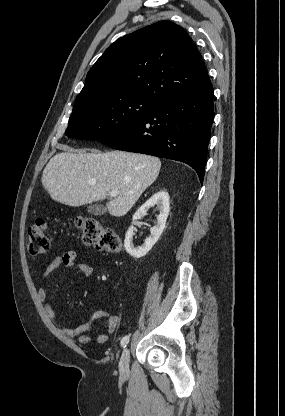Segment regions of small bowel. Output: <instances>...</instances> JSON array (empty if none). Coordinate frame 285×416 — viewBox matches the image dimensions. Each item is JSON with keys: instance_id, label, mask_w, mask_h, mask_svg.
<instances>
[{"instance_id": "obj_1", "label": "small bowel", "mask_w": 285, "mask_h": 416, "mask_svg": "<svg viewBox=\"0 0 285 416\" xmlns=\"http://www.w3.org/2000/svg\"><path fill=\"white\" fill-rule=\"evenodd\" d=\"M60 269L77 270L85 277H89L93 273L92 265L77 261L74 251H66L55 257L44 270L38 289V298L43 305L46 316L63 334L69 338L77 339L82 344H87L92 341L90 330L93 323L99 319H107L106 331L98 334L95 338L98 344L106 343L109 335L114 332L118 325V319L115 315H111L104 310H99L94 313L93 318L89 322L76 327L65 326L57 320L55 311L47 299V294L51 278Z\"/></svg>"}]
</instances>
